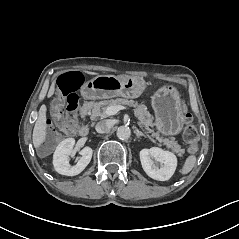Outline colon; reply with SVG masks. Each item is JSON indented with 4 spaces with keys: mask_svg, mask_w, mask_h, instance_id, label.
<instances>
[{
    "mask_svg": "<svg viewBox=\"0 0 239 239\" xmlns=\"http://www.w3.org/2000/svg\"><path fill=\"white\" fill-rule=\"evenodd\" d=\"M83 82L82 76L75 72L62 75L56 86L57 100L53 106V121L49 123V135L57 138L59 132L64 134L74 133L78 122L80 97L77 90ZM184 140L189 153H194L198 148V131L193 124L191 114L184 110Z\"/></svg>",
    "mask_w": 239,
    "mask_h": 239,
    "instance_id": "1",
    "label": "colon"
}]
</instances>
